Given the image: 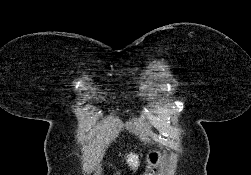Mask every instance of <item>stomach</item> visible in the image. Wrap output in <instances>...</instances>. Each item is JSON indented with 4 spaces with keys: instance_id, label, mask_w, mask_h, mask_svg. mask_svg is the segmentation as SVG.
Masks as SVG:
<instances>
[{
    "instance_id": "stomach-1",
    "label": "stomach",
    "mask_w": 251,
    "mask_h": 175,
    "mask_svg": "<svg viewBox=\"0 0 251 175\" xmlns=\"http://www.w3.org/2000/svg\"><path fill=\"white\" fill-rule=\"evenodd\" d=\"M165 159L166 157L160 149H156V147L149 149L146 155L147 165L143 175H152L154 167H161V165H164Z\"/></svg>"
}]
</instances>
